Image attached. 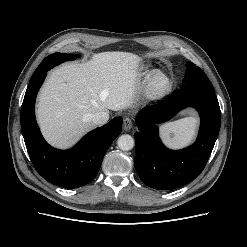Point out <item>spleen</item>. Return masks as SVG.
Wrapping results in <instances>:
<instances>
[{
	"mask_svg": "<svg viewBox=\"0 0 247 247\" xmlns=\"http://www.w3.org/2000/svg\"><path fill=\"white\" fill-rule=\"evenodd\" d=\"M197 119L186 117L161 127L163 141L172 148H180L188 145L195 137Z\"/></svg>",
	"mask_w": 247,
	"mask_h": 247,
	"instance_id": "spleen-1",
	"label": "spleen"
}]
</instances>
